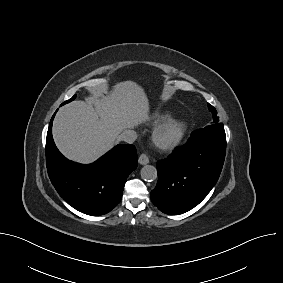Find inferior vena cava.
I'll return each mask as SVG.
<instances>
[{
    "mask_svg": "<svg viewBox=\"0 0 283 283\" xmlns=\"http://www.w3.org/2000/svg\"><path fill=\"white\" fill-rule=\"evenodd\" d=\"M137 138V134L134 130H125L119 135V140L126 143H133Z\"/></svg>",
    "mask_w": 283,
    "mask_h": 283,
    "instance_id": "602c4592",
    "label": "inferior vena cava"
}]
</instances>
